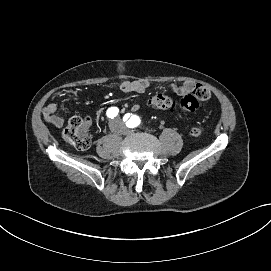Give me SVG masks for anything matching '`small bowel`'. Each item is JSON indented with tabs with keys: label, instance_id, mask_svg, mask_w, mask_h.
Listing matches in <instances>:
<instances>
[{
	"label": "small bowel",
	"instance_id": "1",
	"mask_svg": "<svg viewBox=\"0 0 271 271\" xmlns=\"http://www.w3.org/2000/svg\"><path fill=\"white\" fill-rule=\"evenodd\" d=\"M149 87V83L145 80H133V81H124L120 85V90L124 94L131 93H143ZM171 90L179 96H184L187 93H191L196 84L192 81H185L182 84L172 83ZM133 111H138L140 109V105L134 103L132 105ZM42 116L44 120L52 124L56 127H62L64 125V118L57 113V106L53 103L46 105L42 109ZM85 122L89 125L91 122L90 117L88 116L85 119Z\"/></svg>",
	"mask_w": 271,
	"mask_h": 271
}]
</instances>
